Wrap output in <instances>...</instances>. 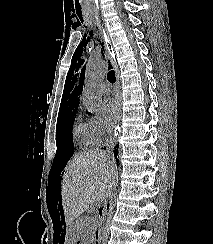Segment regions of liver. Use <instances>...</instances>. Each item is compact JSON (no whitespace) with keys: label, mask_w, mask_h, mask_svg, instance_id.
I'll use <instances>...</instances> for the list:
<instances>
[{"label":"liver","mask_w":213,"mask_h":244,"mask_svg":"<svg viewBox=\"0 0 213 244\" xmlns=\"http://www.w3.org/2000/svg\"><path fill=\"white\" fill-rule=\"evenodd\" d=\"M114 163L106 151H90L75 157L65 168L61 196L69 231L77 230L74 221L95 201H104L112 191ZM86 222V219H81Z\"/></svg>","instance_id":"obj_1"}]
</instances>
